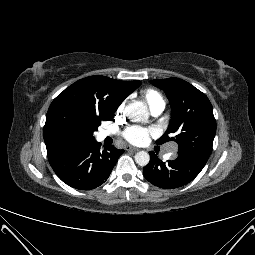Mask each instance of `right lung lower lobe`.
<instances>
[{"instance_id": "right-lung-lower-lobe-1", "label": "right lung lower lobe", "mask_w": 255, "mask_h": 255, "mask_svg": "<svg viewBox=\"0 0 255 255\" xmlns=\"http://www.w3.org/2000/svg\"><path fill=\"white\" fill-rule=\"evenodd\" d=\"M123 152L112 145L102 151L100 144L93 140L52 152L48 159L64 183L79 190H91L107 180Z\"/></svg>"}]
</instances>
